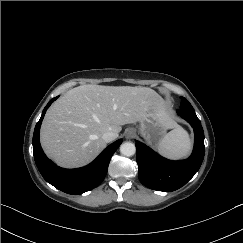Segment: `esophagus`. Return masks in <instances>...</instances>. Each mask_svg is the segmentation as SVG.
<instances>
[{
  "label": "esophagus",
  "instance_id": "1",
  "mask_svg": "<svg viewBox=\"0 0 243 243\" xmlns=\"http://www.w3.org/2000/svg\"><path fill=\"white\" fill-rule=\"evenodd\" d=\"M135 135H136V132L132 129H130L126 132V138L127 139H132Z\"/></svg>",
  "mask_w": 243,
  "mask_h": 243
}]
</instances>
